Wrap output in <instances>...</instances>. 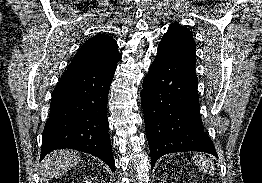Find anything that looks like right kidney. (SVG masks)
<instances>
[{
	"label": "right kidney",
	"mask_w": 262,
	"mask_h": 183,
	"mask_svg": "<svg viewBox=\"0 0 262 183\" xmlns=\"http://www.w3.org/2000/svg\"><path fill=\"white\" fill-rule=\"evenodd\" d=\"M85 183H92L91 180H85Z\"/></svg>",
	"instance_id": "obj_1"
}]
</instances>
